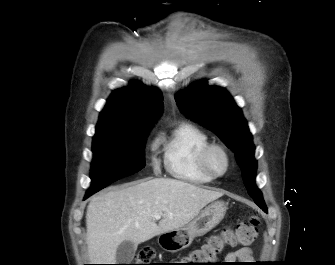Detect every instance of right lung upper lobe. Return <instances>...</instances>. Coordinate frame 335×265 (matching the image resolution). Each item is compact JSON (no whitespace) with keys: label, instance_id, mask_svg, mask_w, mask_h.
Returning <instances> with one entry per match:
<instances>
[{"label":"right lung upper lobe","instance_id":"cb5924a9","mask_svg":"<svg viewBox=\"0 0 335 265\" xmlns=\"http://www.w3.org/2000/svg\"><path fill=\"white\" fill-rule=\"evenodd\" d=\"M163 109L159 90L139 82L113 91L100 113L96 133L124 130L140 125H153Z\"/></svg>","mask_w":335,"mask_h":265}]
</instances>
